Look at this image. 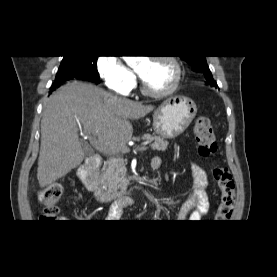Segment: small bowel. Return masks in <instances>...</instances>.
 Here are the masks:
<instances>
[{"label": "small bowel", "mask_w": 277, "mask_h": 277, "mask_svg": "<svg viewBox=\"0 0 277 277\" xmlns=\"http://www.w3.org/2000/svg\"><path fill=\"white\" fill-rule=\"evenodd\" d=\"M153 170H158L161 166V160L157 157L150 162ZM191 172L193 176V185L191 191L182 204L179 218L182 220H200L209 209V200L207 197L208 179L205 170L198 164L191 165ZM126 207L123 201L117 202L110 209V219H117L121 216L122 211Z\"/></svg>", "instance_id": "small-bowel-1"}]
</instances>
